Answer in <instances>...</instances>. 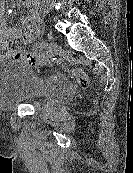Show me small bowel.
Instances as JSON below:
<instances>
[{
    "label": "small bowel",
    "mask_w": 133,
    "mask_h": 173,
    "mask_svg": "<svg viewBox=\"0 0 133 173\" xmlns=\"http://www.w3.org/2000/svg\"><path fill=\"white\" fill-rule=\"evenodd\" d=\"M22 5L31 6L27 17L22 20L21 27H8L5 23L3 12L0 11V61L5 57L4 49L7 42L13 38H21L25 41H35L41 32L39 11L36 8V0H22ZM34 56V62L39 60ZM33 63V62H32Z\"/></svg>",
    "instance_id": "small-bowel-1"
}]
</instances>
